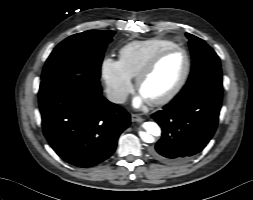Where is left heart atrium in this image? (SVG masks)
Instances as JSON below:
<instances>
[{
	"instance_id": "obj_1",
	"label": "left heart atrium",
	"mask_w": 253,
	"mask_h": 200,
	"mask_svg": "<svg viewBox=\"0 0 253 200\" xmlns=\"http://www.w3.org/2000/svg\"><path fill=\"white\" fill-rule=\"evenodd\" d=\"M148 100L139 92L134 98L133 104L136 108L142 107Z\"/></svg>"
}]
</instances>
